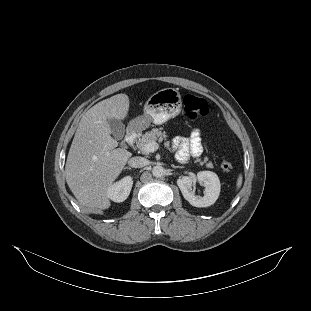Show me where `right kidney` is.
Here are the masks:
<instances>
[{"label": "right kidney", "mask_w": 311, "mask_h": 311, "mask_svg": "<svg viewBox=\"0 0 311 311\" xmlns=\"http://www.w3.org/2000/svg\"><path fill=\"white\" fill-rule=\"evenodd\" d=\"M131 188L132 179L130 177H126L108 189V196L116 202H123L129 196Z\"/></svg>", "instance_id": "obj_1"}]
</instances>
